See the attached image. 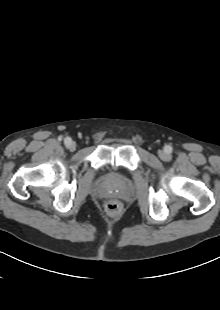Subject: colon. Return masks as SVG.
<instances>
[{"label":"colon","instance_id":"colon-1","mask_svg":"<svg viewBox=\"0 0 220 310\" xmlns=\"http://www.w3.org/2000/svg\"><path fill=\"white\" fill-rule=\"evenodd\" d=\"M106 209L110 214H118L121 210V205L116 201H110L106 204Z\"/></svg>","mask_w":220,"mask_h":310}]
</instances>
